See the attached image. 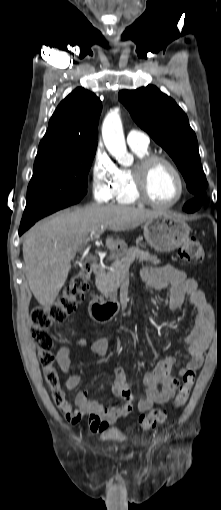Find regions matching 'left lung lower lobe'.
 Returning <instances> with one entry per match:
<instances>
[{
	"mask_svg": "<svg viewBox=\"0 0 221 510\" xmlns=\"http://www.w3.org/2000/svg\"><path fill=\"white\" fill-rule=\"evenodd\" d=\"M200 206H201L200 204H198L192 200L185 204L184 209L187 212L191 213V212H195L196 210H198L200 208Z\"/></svg>",
	"mask_w": 221,
	"mask_h": 510,
	"instance_id": "1",
	"label": "left lung lower lobe"
}]
</instances>
